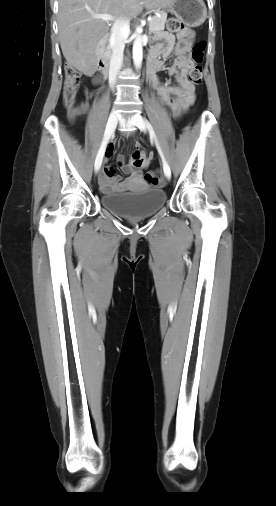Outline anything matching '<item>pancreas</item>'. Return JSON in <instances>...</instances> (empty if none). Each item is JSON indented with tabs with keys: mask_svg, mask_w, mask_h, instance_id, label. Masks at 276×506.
<instances>
[{
	"mask_svg": "<svg viewBox=\"0 0 276 506\" xmlns=\"http://www.w3.org/2000/svg\"><path fill=\"white\" fill-rule=\"evenodd\" d=\"M166 18L167 14L164 12H161L160 17H152V21L149 22V31L155 33L164 30Z\"/></svg>",
	"mask_w": 276,
	"mask_h": 506,
	"instance_id": "obj_1",
	"label": "pancreas"
}]
</instances>
